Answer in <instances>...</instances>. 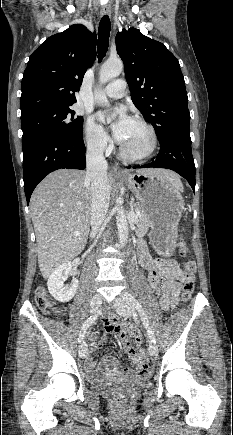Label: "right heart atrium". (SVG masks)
I'll return each instance as SVG.
<instances>
[{
    "label": "right heart atrium",
    "mask_w": 233,
    "mask_h": 435,
    "mask_svg": "<svg viewBox=\"0 0 233 435\" xmlns=\"http://www.w3.org/2000/svg\"><path fill=\"white\" fill-rule=\"evenodd\" d=\"M84 141L87 149L95 155H103L111 148L108 134L90 119L85 124Z\"/></svg>",
    "instance_id": "d8ad5b80"
}]
</instances>
